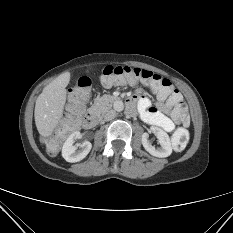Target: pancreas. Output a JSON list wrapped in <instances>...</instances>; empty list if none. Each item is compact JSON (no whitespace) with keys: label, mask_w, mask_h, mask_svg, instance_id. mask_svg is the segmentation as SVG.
<instances>
[{"label":"pancreas","mask_w":233,"mask_h":233,"mask_svg":"<svg viewBox=\"0 0 233 233\" xmlns=\"http://www.w3.org/2000/svg\"><path fill=\"white\" fill-rule=\"evenodd\" d=\"M117 98L111 95H103L101 97H97L94 100L93 105L89 109L90 114L101 116L103 115L107 110H109L112 106V103Z\"/></svg>","instance_id":"obj_1"}]
</instances>
